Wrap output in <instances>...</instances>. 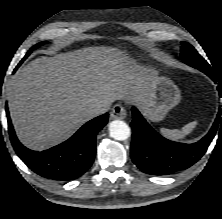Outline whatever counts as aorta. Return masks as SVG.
I'll use <instances>...</instances> for the list:
<instances>
[{"mask_svg": "<svg viewBox=\"0 0 222 219\" xmlns=\"http://www.w3.org/2000/svg\"><path fill=\"white\" fill-rule=\"evenodd\" d=\"M109 133L115 140H126L130 137L129 126L121 120H114L109 124Z\"/></svg>", "mask_w": 222, "mask_h": 219, "instance_id": "obj_1", "label": "aorta"}]
</instances>
